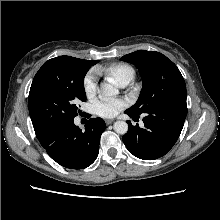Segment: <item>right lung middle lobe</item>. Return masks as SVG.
<instances>
[{
	"label": "right lung middle lobe",
	"instance_id": "right-lung-middle-lobe-1",
	"mask_svg": "<svg viewBox=\"0 0 220 220\" xmlns=\"http://www.w3.org/2000/svg\"><path fill=\"white\" fill-rule=\"evenodd\" d=\"M98 60L89 62L56 57L45 62L35 75L28 98L35 134L41 137L80 113L86 101L84 77Z\"/></svg>",
	"mask_w": 220,
	"mask_h": 220
}]
</instances>
